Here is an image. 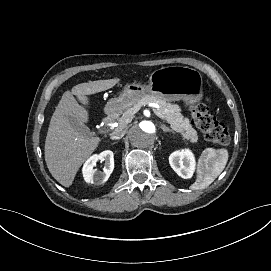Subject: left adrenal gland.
I'll list each match as a JSON object with an SVG mask.
<instances>
[{
  "label": "left adrenal gland",
  "instance_id": "a2214340",
  "mask_svg": "<svg viewBox=\"0 0 271 271\" xmlns=\"http://www.w3.org/2000/svg\"><path fill=\"white\" fill-rule=\"evenodd\" d=\"M161 129L163 130V133H170V134H173V133L171 132V130H170L168 127H166L164 124L161 125Z\"/></svg>",
  "mask_w": 271,
  "mask_h": 271
}]
</instances>
